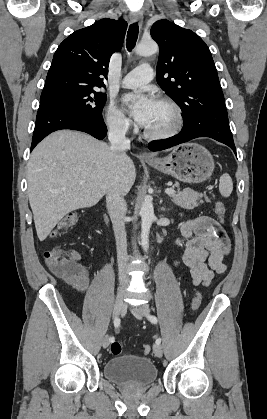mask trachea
Masks as SVG:
<instances>
[{
  "mask_svg": "<svg viewBox=\"0 0 267 419\" xmlns=\"http://www.w3.org/2000/svg\"><path fill=\"white\" fill-rule=\"evenodd\" d=\"M138 32H139V28H138V23H133L130 25L128 32H127V49L128 51H131L136 44L137 38H138Z\"/></svg>",
  "mask_w": 267,
  "mask_h": 419,
  "instance_id": "obj_1",
  "label": "trachea"
}]
</instances>
